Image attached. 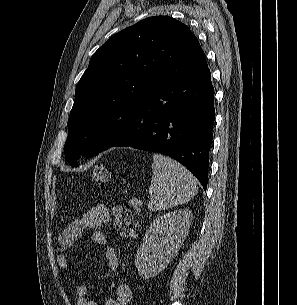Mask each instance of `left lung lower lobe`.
Returning a JSON list of instances; mask_svg holds the SVG:
<instances>
[{
	"instance_id": "obj_1",
	"label": "left lung lower lobe",
	"mask_w": 297,
	"mask_h": 305,
	"mask_svg": "<svg viewBox=\"0 0 297 305\" xmlns=\"http://www.w3.org/2000/svg\"><path fill=\"white\" fill-rule=\"evenodd\" d=\"M214 118V88L206 66L155 88L135 107L121 135L103 150L130 146L168 155L206 190Z\"/></svg>"
}]
</instances>
